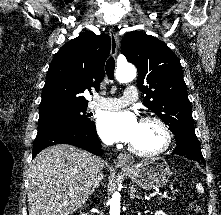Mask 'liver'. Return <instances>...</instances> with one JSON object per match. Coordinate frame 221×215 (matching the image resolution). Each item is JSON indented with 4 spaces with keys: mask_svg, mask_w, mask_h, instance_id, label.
<instances>
[{
    "mask_svg": "<svg viewBox=\"0 0 221 215\" xmlns=\"http://www.w3.org/2000/svg\"><path fill=\"white\" fill-rule=\"evenodd\" d=\"M103 160L71 145L42 150L29 172V215H69L87 201Z\"/></svg>",
    "mask_w": 221,
    "mask_h": 215,
    "instance_id": "obj_1",
    "label": "liver"
}]
</instances>
